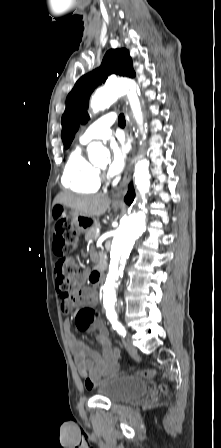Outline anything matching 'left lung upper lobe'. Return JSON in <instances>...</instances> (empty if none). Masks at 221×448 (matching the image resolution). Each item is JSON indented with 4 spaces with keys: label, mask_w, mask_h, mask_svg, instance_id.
<instances>
[{
    "label": "left lung upper lobe",
    "mask_w": 221,
    "mask_h": 448,
    "mask_svg": "<svg viewBox=\"0 0 221 448\" xmlns=\"http://www.w3.org/2000/svg\"><path fill=\"white\" fill-rule=\"evenodd\" d=\"M112 73L127 77L135 76L132 60L126 49L109 50L101 66L82 76L67 96L61 134L65 148L70 146L79 124L88 120L87 108L91 93Z\"/></svg>",
    "instance_id": "5c2ea615"
}]
</instances>
